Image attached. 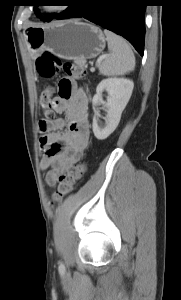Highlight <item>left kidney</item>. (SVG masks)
<instances>
[{
	"label": "left kidney",
	"instance_id": "left-kidney-1",
	"mask_svg": "<svg viewBox=\"0 0 181 300\" xmlns=\"http://www.w3.org/2000/svg\"><path fill=\"white\" fill-rule=\"evenodd\" d=\"M134 83L127 78H107L103 79L96 88V94L92 103L94 109L97 105L103 104L107 109V119L105 126L98 125L97 111L93 118V132L98 140L106 139L117 128L121 114L125 109L133 91ZM108 93L106 102L103 101L102 93Z\"/></svg>",
	"mask_w": 181,
	"mask_h": 300
}]
</instances>
